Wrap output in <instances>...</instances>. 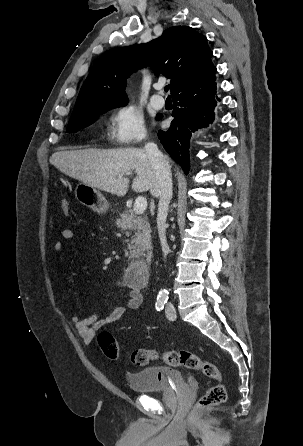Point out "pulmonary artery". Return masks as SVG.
<instances>
[{"label":"pulmonary artery","instance_id":"obj_1","mask_svg":"<svg viewBox=\"0 0 303 446\" xmlns=\"http://www.w3.org/2000/svg\"><path fill=\"white\" fill-rule=\"evenodd\" d=\"M160 89H161V86H158L157 90H160ZM150 102H151L152 106L156 109H161L165 104L164 98L158 94L152 95Z\"/></svg>","mask_w":303,"mask_h":446}]
</instances>
